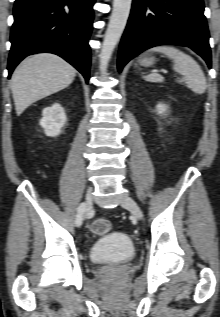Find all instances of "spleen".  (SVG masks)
<instances>
[{
  "mask_svg": "<svg viewBox=\"0 0 220 317\" xmlns=\"http://www.w3.org/2000/svg\"><path fill=\"white\" fill-rule=\"evenodd\" d=\"M152 51L163 53L169 59L173 60V70L183 76L177 80L184 83L196 94H203L207 88L206 77L199 64L188 54L172 46L154 47ZM146 81L161 83L164 78L157 73H151L143 76Z\"/></svg>",
  "mask_w": 220,
  "mask_h": 317,
  "instance_id": "obj_1",
  "label": "spleen"
}]
</instances>
